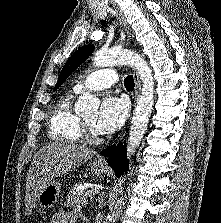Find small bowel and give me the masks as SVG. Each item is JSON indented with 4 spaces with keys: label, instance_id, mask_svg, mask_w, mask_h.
Listing matches in <instances>:
<instances>
[{
    "label": "small bowel",
    "instance_id": "small-bowel-1",
    "mask_svg": "<svg viewBox=\"0 0 221 223\" xmlns=\"http://www.w3.org/2000/svg\"><path fill=\"white\" fill-rule=\"evenodd\" d=\"M78 217L79 214L76 211H60L53 216L50 223H74Z\"/></svg>",
    "mask_w": 221,
    "mask_h": 223
}]
</instances>
